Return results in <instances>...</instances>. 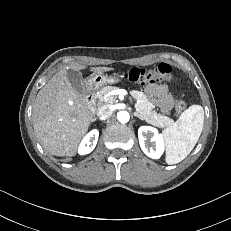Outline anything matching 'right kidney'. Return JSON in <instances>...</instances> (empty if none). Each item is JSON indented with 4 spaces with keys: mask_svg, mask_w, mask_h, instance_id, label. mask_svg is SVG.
<instances>
[{
    "mask_svg": "<svg viewBox=\"0 0 231 231\" xmlns=\"http://www.w3.org/2000/svg\"><path fill=\"white\" fill-rule=\"evenodd\" d=\"M99 137V132L97 129L90 131L81 141L78 148V153L80 155L89 154L92 152L97 144Z\"/></svg>",
    "mask_w": 231,
    "mask_h": 231,
    "instance_id": "ca27d5eb",
    "label": "right kidney"
}]
</instances>
